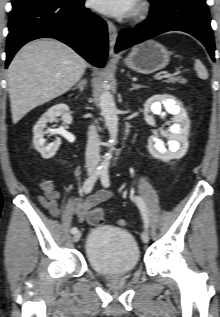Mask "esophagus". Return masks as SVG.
Segmentation results:
<instances>
[{
	"mask_svg": "<svg viewBox=\"0 0 220 317\" xmlns=\"http://www.w3.org/2000/svg\"><path fill=\"white\" fill-rule=\"evenodd\" d=\"M107 27H108V37H109V54L110 56H114V47L116 44L118 31L115 26V24L112 21H107Z\"/></svg>",
	"mask_w": 220,
	"mask_h": 317,
	"instance_id": "obj_1",
	"label": "esophagus"
}]
</instances>
